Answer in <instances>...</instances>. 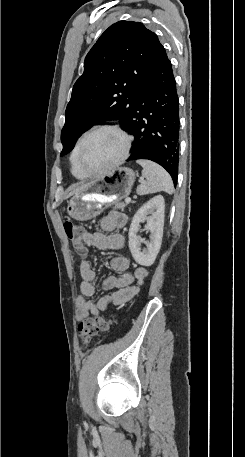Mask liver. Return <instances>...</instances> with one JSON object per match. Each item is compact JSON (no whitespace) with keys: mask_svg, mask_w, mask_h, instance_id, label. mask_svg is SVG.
<instances>
[{"mask_svg":"<svg viewBox=\"0 0 245 457\" xmlns=\"http://www.w3.org/2000/svg\"><path fill=\"white\" fill-rule=\"evenodd\" d=\"M91 182H93V180H91ZM91 182H85V184H81V186H77V188H74V190H71V192H69V194H67V196H72V194H76V192H81V190H83V188H86V186H88V184H91Z\"/></svg>","mask_w":245,"mask_h":457,"instance_id":"6515ba94","label":"liver"}]
</instances>
